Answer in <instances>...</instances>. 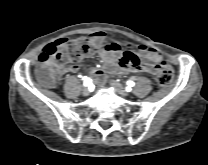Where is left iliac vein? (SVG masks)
<instances>
[{
	"instance_id": "1",
	"label": "left iliac vein",
	"mask_w": 208,
	"mask_h": 165,
	"mask_svg": "<svg viewBox=\"0 0 208 165\" xmlns=\"http://www.w3.org/2000/svg\"><path fill=\"white\" fill-rule=\"evenodd\" d=\"M111 86L123 97H127L129 95L128 91L118 82L111 81Z\"/></svg>"
}]
</instances>
